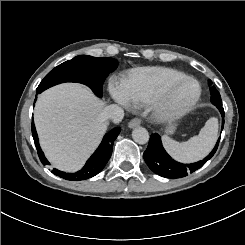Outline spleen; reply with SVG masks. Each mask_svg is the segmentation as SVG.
Listing matches in <instances>:
<instances>
[{"mask_svg":"<svg viewBox=\"0 0 245 245\" xmlns=\"http://www.w3.org/2000/svg\"><path fill=\"white\" fill-rule=\"evenodd\" d=\"M219 137V118L207 120L199 134L186 142L178 143L161 137L162 145L168 155L181 164H192L206 158L214 149Z\"/></svg>","mask_w":245,"mask_h":245,"instance_id":"1","label":"spleen"}]
</instances>
